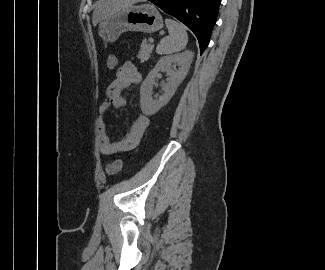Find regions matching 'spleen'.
<instances>
[{
    "mask_svg": "<svg viewBox=\"0 0 325 270\" xmlns=\"http://www.w3.org/2000/svg\"><path fill=\"white\" fill-rule=\"evenodd\" d=\"M165 24L169 35L160 41L156 52L160 55H166L185 49L188 42L185 27L172 19H165Z\"/></svg>",
    "mask_w": 325,
    "mask_h": 270,
    "instance_id": "spleen-1",
    "label": "spleen"
}]
</instances>
